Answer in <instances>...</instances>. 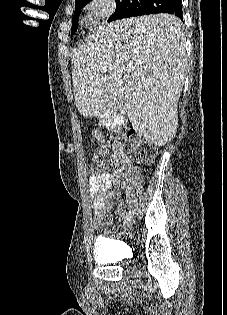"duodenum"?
<instances>
[{"label": "duodenum", "mask_w": 227, "mask_h": 315, "mask_svg": "<svg viewBox=\"0 0 227 315\" xmlns=\"http://www.w3.org/2000/svg\"><path fill=\"white\" fill-rule=\"evenodd\" d=\"M105 120L110 126H117L121 123L122 117L118 113L110 112L105 115Z\"/></svg>", "instance_id": "obj_1"}]
</instances>
